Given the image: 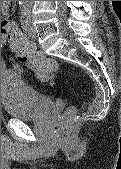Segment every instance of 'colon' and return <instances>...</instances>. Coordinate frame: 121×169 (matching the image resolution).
Instances as JSON below:
<instances>
[{
	"mask_svg": "<svg viewBox=\"0 0 121 169\" xmlns=\"http://www.w3.org/2000/svg\"><path fill=\"white\" fill-rule=\"evenodd\" d=\"M8 48L15 54L18 61L32 70L42 82L53 83L55 81L58 65L51 58H46L42 53L35 50L34 45L17 29L11 28L5 33ZM75 109L70 108L65 116L58 120L52 129L53 138L57 142H66L73 131Z\"/></svg>",
	"mask_w": 121,
	"mask_h": 169,
	"instance_id": "obj_1",
	"label": "colon"
}]
</instances>
